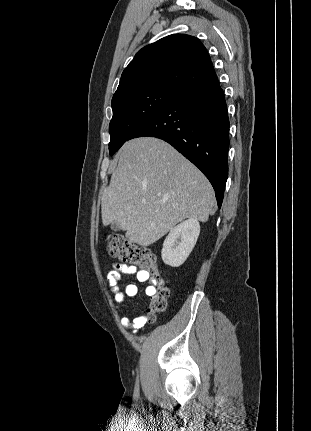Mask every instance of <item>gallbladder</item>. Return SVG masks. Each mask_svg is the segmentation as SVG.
<instances>
[{"mask_svg": "<svg viewBox=\"0 0 311 431\" xmlns=\"http://www.w3.org/2000/svg\"><path fill=\"white\" fill-rule=\"evenodd\" d=\"M110 227L113 229V231H119V229H121L117 223H111Z\"/></svg>", "mask_w": 311, "mask_h": 431, "instance_id": "1", "label": "gallbladder"}]
</instances>
